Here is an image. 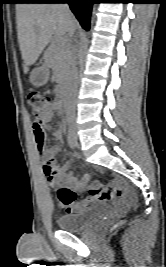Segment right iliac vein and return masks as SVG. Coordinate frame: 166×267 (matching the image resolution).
<instances>
[{
	"label": "right iliac vein",
	"mask_w": 166,
	"mask_h": 267,
	"mask_svg": "<svg viewBox=\"0 0 166 267\" xmlns=\"http://www.w3.org/2000/svg\"><path fill=\"white\" fill-rule=\"evenodd\" d=\"M69 131L72 134V136L74 137V139H76V128L72 125V126H70Z\"/></svg>",
	"instance_id": "1"
}]
</instances>
